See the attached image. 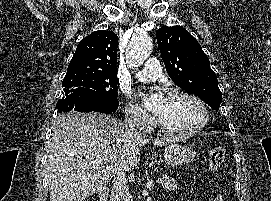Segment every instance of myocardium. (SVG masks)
<instances>
[{"instance_id": "obj_1", "label": "myocardium", "mask_w": 271, "mask_h": 201, "mask_svg": "<svg viewBox=\"0 0 271 201\" xmlns=\"http://www.w3.org/2000/svg\"><path fill=\"white\" fill-rule=\"evenodd\" d=\"M177 96L188 98L197 104V106L199 107L201 114H202L201 122L198 125H196L195 127L191 128L189 130H186V131L172 130V129L168 128L167 126H165L159 120V118H157L156 123H157V126L160 129V131L166 135L174 136V137H189V136H192V135L196 134L197 132L201 131L202 129H204L208 125V123L210 121L209 111H208L206 104L204 103V101L200 97H198L197 95H195L189 91H186V90L172 89L167 93L166 98H172V97H177Z\"/></svg>"}]
</instances>
